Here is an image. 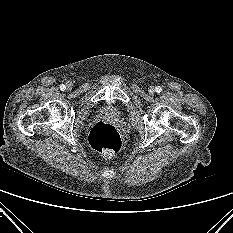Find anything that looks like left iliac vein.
I'll return each mask as SVG.
<instances>
[{
	"mask_svg": "<svg viewBox=\"0 0 233 233\" xmlns=\"http://www.w3.org/2000/svg\"><path fill=\"white\" fill-rule=\"evenodd\" d=\"M154 92H155V88H154V87H152V86H151V87H149V93H150V94H153Z\"/></svg>",
	"mask_w": 233,
	"mask_h": 233,
	"instance_id": "obj_1",
	"label": "left iliac vein"
}]
</instances>
